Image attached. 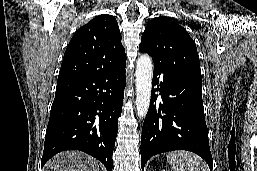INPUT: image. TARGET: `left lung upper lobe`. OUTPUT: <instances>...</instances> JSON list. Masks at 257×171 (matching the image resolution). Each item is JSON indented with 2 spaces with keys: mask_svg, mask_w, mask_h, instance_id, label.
<instances>
[{
  "mask_svg": "<svg viewBox=\"0 0 257 171\" xmlns=\"http://www.w3.org/2000/svg\"><path fill=\"white\" fill-rule=\"evenodd\" d=\"M139 51L148 53L154 63L170 65L202 83L195 42L170 18L162 16L149 22L142 34Z\"/></svg>",
  "mask_w": 257,
  "mask_h": 171,
  "instance_id": "obj_1",
  "label": "left lung upper lobe"
}]
</instances>
